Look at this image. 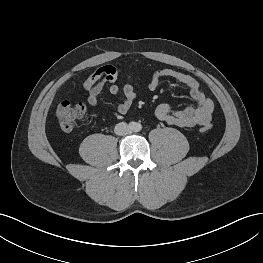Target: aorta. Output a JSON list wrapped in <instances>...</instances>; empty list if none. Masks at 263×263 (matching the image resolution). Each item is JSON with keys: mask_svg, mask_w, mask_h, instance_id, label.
<instances>
[{"mask_svg": "<svg viewBox=\"0 0 263 263\" xmlns=\"http://www.w3.org/2000/svg\"><path fill=\"white\" fill-rule=\"evenodd\" d=\"M135 130H136V131H138V130H139V128H136Z\"/></svg>", "mask_w": 263, "mask_h": 263, "instance_id": "aorta-1", "label": "aorta"}]
</instances>
